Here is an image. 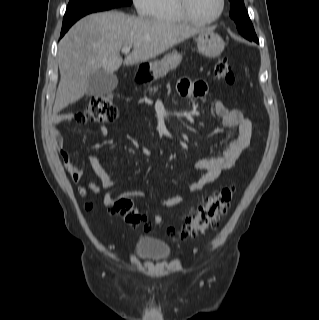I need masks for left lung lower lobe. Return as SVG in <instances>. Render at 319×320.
I'll use <instances>...</instances> for the list:
<instances>
[{
    "mask_svg": "<svg viewBox=\"0 0 319 320\" xmlns=\"http://www.w3.org/2000/svg\"><path fill=\"white\" fill-rule=\"evenodd\" d=\"M242 36H244L246 39L250 40V41H255V42H259L257 39L256 35H247L245 33L239 32Z\"/></svg>",
    "mask_w": 319,
    "mask_h": 320,
    "instance_id": "1",
    "label": "left lung lower lobe"
}]
</instances>
